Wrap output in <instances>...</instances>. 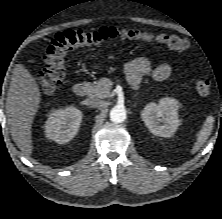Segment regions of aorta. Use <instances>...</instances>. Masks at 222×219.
<instances>
[{"label": "aorta", "mask_w": 222, "mask_h": 219, "mask_svg": "<svg viewBox=\"0 0 222 219\" xmlns=\"http://www.w3.org/2000/svg\"><path fill=\"white\" fill-rule=\"evenodd\" d=\"M126 119V110L123 106H115L110 111V120L114 123H121Z\"/></svg>", "instance_id": "aorta-1"}]
</instances>
